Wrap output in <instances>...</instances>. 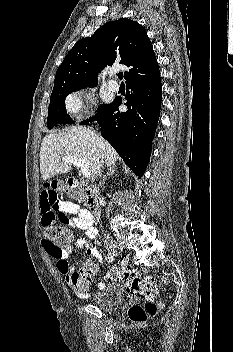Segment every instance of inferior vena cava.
<instances>
[{"mask_svg":"<svg viewBox=\"0 0 233 352\" xmlns=\"http://www.w3.org/2000/svg\"><path fill=\"white\" fill-rule=\"evenodd\" d=\"M101 169H103V165H101ZM102 174V171L100 170L99 171V176H101ZM105 244L109 245V244H112V239L107 235H105Z\"/></svg>","mask_w":233,"mask_h":352,"instance_id":"1","label":"inferior vena cava"}]
</instances>
